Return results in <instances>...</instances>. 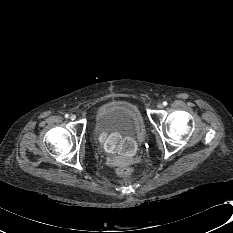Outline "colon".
<instances>
[{
	"label": "colon",
	"mask_w": 233,
	"mask_h": 233,
	"mask_svg": "<svg viewBox=\"0 0 233 233\" xmlns=\"http://www.w3.org/2000/svg\"><path fill=\"white\" fill-rule=\"evenodd\" d=\"M117 174L121 177H129L131 175V171L126 167H121L117 170Z\"/></svg>",
	"instance_id": "colon-1"
}]
</instances>
